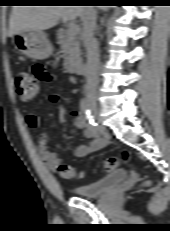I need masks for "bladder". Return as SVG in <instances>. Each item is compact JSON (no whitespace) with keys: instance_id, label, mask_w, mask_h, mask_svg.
<instances>
[{"instance_id":"31cf9c89","label":"bladder","mask_w":170,"mask_h":231,"mask_svg":"<svg viewBox=\"0 0 170 231\" xmlns=\"http://www.w3.org/2000/svg\"><path fill=\"white\" fill-rule=\"evenodd\" d=\"M127 177L128 174L126 170L118 169L97 181L76 186L74 193L77 196L85 198L98 197L123 184L127 180Z\"/></svg>"}]
</instances>
